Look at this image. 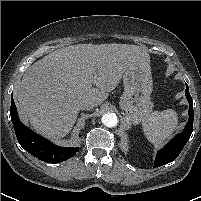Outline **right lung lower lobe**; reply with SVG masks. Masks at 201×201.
<instances>
[{
  "label": "right lung lower lobe",
  "instance_id": "obj_1",
  "mask_svg": "<svg viewBox=\"0 0 201 201\" xmlns=\"http://www.w3.org/2000/svg\"><path fill=\"white\" fill-rule=\"evenodd\" d=\"M10 115L19 144L39 160L47 163H58L71 158L78 152L79 148L57 146L22 124L13 96H11Z\"/></svg>",
  "mask_w": 201,
  "mask_h": 201
}]
</instances>
